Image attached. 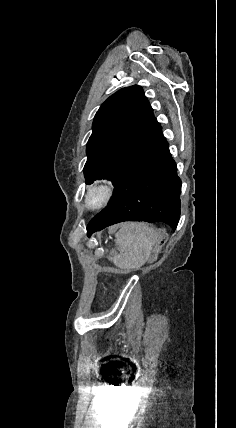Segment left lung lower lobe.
I'll list each match as a JSON object with an SVG mask.
<instances>
[{"label": "left lung lower lobe", "mask_w": 236, "mask_h": 428, "mask_svg": "<svg viewBox=\"0 0 236 428\" xmlns=\"http://www.w3.org/2000/svg\"><path fill=\"white\" fill-rule=\"evenodd\" d=\"M159 123L116 184L108 206L87 225V235L125 221L162 222L174 231L180 217L181 180Z\"/></svg>", "instance_id": "0a47b994"}]
</instances>
